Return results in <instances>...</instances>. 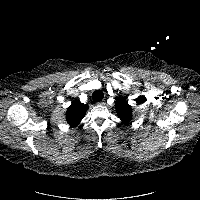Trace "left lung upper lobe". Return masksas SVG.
Masks as SVG:
<instances>
[{"instance_id":"1","label":"left lung upper lobe","mask_w":200,"mask_h":200,"mask_svg":"<svg viewBox=\"0 0 200 200\" xmlns=\"http://www.w3.org/2000/svg\"><path fill=\"white\" fill-rule=\"evenodd\" d=\"M116 111L123 122V124H128L132 118V109L125 98L120 97L116 100Z\"/></svg>"}]
</instances>
